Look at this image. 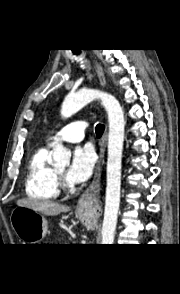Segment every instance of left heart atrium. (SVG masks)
I'll list each match as a JSON object with an SVG mask.
<instances>
[{"label":"left heart atrium","mask_w":180,"mask_h":294,"mask_svg":"<svg viewBox=\"0 0 180 294\" xmlns=\"http://www.w3.org/2000/svg\"><path fill=\"white\" fill-rule=\"evenodd\" d=\"M96 164V156L90 146L77 148L74 151L66 178L71 184H79L90 178Z\"/></svg>","instance_id":"left-heart-atrium-1"}]
</instances>
